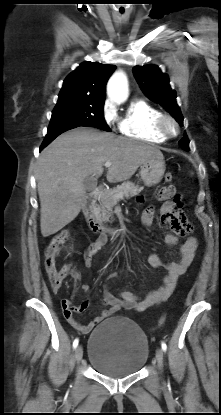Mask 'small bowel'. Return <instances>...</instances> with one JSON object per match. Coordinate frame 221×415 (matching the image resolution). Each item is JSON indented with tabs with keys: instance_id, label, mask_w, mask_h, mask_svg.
Returning a JSON list of instances; mask_svg holds the SVG:
<instances>
[{
	"instance_id": "small-bowel-1",
	"label": "small bowel",
	"mask_w": 221,
	"mask_h": 415,
	"mask_svg": "<svg viewBox=\"0 0 221 415\" xmlns=\"http://www.w3.org/2000/svg\"><path fill=\"white\" fill-rule=\"evenodd\" d=\"M157 199L165 201L161 213L163 221L170 224L174 233L167 234L165 237V245L173 247L178 243L177 235H185L191 231V225L186 220V210H182V204L178 196L177 188L174 186H167L161 188L157 192ZM154 208L147 207L142 213V222L145 227H150L154 219ZM107 242V237L101 235L89 247L85 253V264L90 266L92 263V256L100 251ZM198 248V241L195 237H189L178 249L177 259L166 262L160 258L156 253H151L148 256V263L155 269H166L167 273L163 278L162 285L148 293L144 297H139L132 292L122 291L119 296L111 294L107 287L104 286L103 302L108 306L107 309L100 312L90 323L83 325L78 322L73 312L82 313L88 307V300L85 299L78 306H72L71 300L64 299L62 301V309L64 316L68 323L80 332L87 333L92 328L97 326L103 319L108 318L122 309L144 311L154 305L161 304L169 299L175 290L177 281L182 276L187 268L192 263L196 250ZM118 278L117 272L108 274L107 279ZM84 292H88L87 285H82Z\"/></svg>"
}]
</instances>
